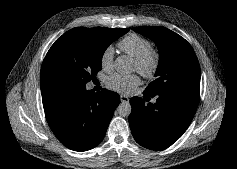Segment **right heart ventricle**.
I'll list each match as a JSON object with an SVG mask.
<instances>
[{"mask_svg":"<svg viewBox=\"0 0 237 169\" xmlns=\"http://www.w3.org/2000/svg\"><path fill=\"white\" fill-rule=\"evenodd\" d=\"M119 48L129 56L136 58L151 48L148 39L138 34H130L119 42Z\"/></svg>","mask_w":237,"mask_h":169,"instance_id":"right-heart-ventricle-1","label":"right heart ventricle"}]
</instances>
